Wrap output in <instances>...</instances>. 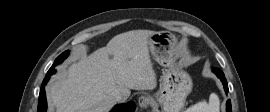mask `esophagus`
<instances>
[{
  "label": "esophagus",
  "instance_id": "34e87169",
  "mask_svg": "<svg viewBox=\"0 0 270 112\" xmlns=\"http://www.w3.org/2000/svg\"><path fill=\"white\" fill-rule=\"evenodd\" d=\"M152 98L149 95H142L138 99V104L141 108H147L151 104Z\"/></svg>",
  "mask_w": 270,
  "mask_h": 112
}]
</instances>
